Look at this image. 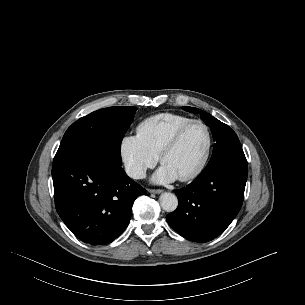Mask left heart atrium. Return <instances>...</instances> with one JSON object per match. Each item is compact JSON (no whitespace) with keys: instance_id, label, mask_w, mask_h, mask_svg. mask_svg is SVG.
Listing matches in <instances>:
<instances>
[{"instance_id":"obj_1","label":"left heart atrium","mask_w":305,"mask_h":305,"mask_svg":"<svg viewBox=\"0 0 305 305\" xmlns=\"http://www.w3.org/2000/svg\"><path fill=\"white\" fill-rule=\"evenodd\" d=\"M177 178L178 177L173 171H171L167 166L163 165L154 175L153 181L157 183H167L172 182Z\"/></svg>"}]
</instances>
